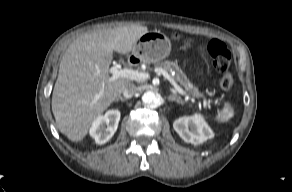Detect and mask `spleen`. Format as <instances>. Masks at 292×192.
I'll return each instance as SVG.
<instances>
[{
    "mask_svg": "<svg viewBox=\"0 0 292 192\" xmlns=\"http://www.w3.org/2000/svg\"><path fill=\"white\" fill-rule=\"evenodd\" d=\"M233 115H234V113H233L232 110H227V111L224 112L223 115H219V116H218V119H220V120H228V119H230Z\"/></svg>",
    "mask_w": 292,
    "mask_h": 192,
    "instance_id": "obj_1",
    "label": "spleen"
}]
</instances>
